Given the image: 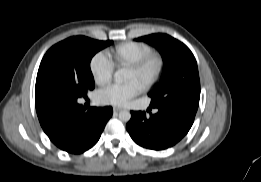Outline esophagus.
Listing matches in <instances>:
<instances>
[{"label": "esophagus", "instance_id": "esophagus-1", "mask_svg": "<svg viewBox=\"0 0 261 182\" xmlns=\"http://www.w3.org/2000/svg\"><path fill=\"white\" fill-rule=\"evenodd\" d=\"M114 112H120L123 110V108L120 107H113Z\"/></svg>", "mask_w": 261, "mask_h": 182}]
</instances>
